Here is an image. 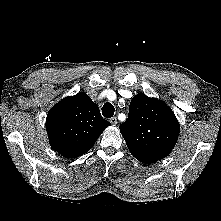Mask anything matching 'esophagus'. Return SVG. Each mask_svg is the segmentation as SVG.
I'll list each match as a JSON object with an SVG mask.
<instances>
[{"mask_svg": "<svg viewBox=\"0 0 221 221\" xmlns=\"http://www.w3.org/2000/svg\"><path fill=\"white\" fill-rule=\"evenodd\" d=\"M110 123H111L112 125H116V124L118 123L117 118H116V117H112V118L110 119Z\"/></svg>", "mask_w": 221, "mask_h": 221, "instance_id": "esophagus-1", "label": "esophagus"}]
</instances>
